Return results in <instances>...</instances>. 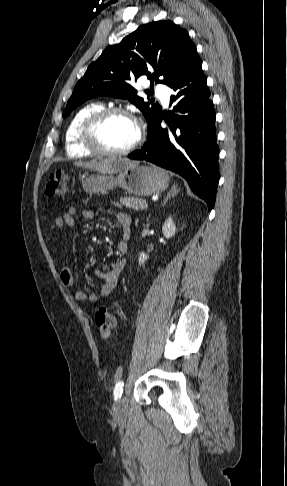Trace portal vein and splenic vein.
Listing matches in <instances>:
<instances>
[{
  "mask_svg": "<svg viewBox=\"0 0 287 486\" xmlns=\"http://www.w3.org/2000/svg\"><path fill=\"white\" fill-rule=\"evenodd\" d=\"M142 207H143L144 209H147V208H148V204H144V205H142Z\"/></svg>",
  "mask_w": 287,
  "mask_h": 486,
  "instance_id": "obj_1",
  "label": "portal vein and splenic vein"
}]
</instances>
